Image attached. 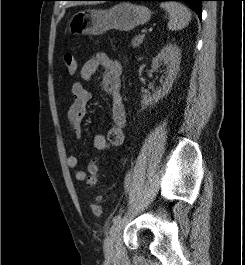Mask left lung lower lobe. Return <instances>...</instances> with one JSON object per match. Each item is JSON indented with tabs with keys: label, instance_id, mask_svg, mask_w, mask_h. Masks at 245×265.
I'll use <instances>...</instances> for the list:
<instances>
[{
	"label": "left lung lower lobe",
	"instance_id": "obj_1",
	"mask_svg": "<svg viewBox=\"0 0 245 265\" xmlns=\"http://www.w3.org/2000/svg\"><path fill=\"white\" fill-rule=\"evenodd\" d=\"M98 1H183L189 4L201 19V1L205 0H98Z\"/></svg>",
	"mask_w": 245,
	"mask_h": 265
}]
</instances>
